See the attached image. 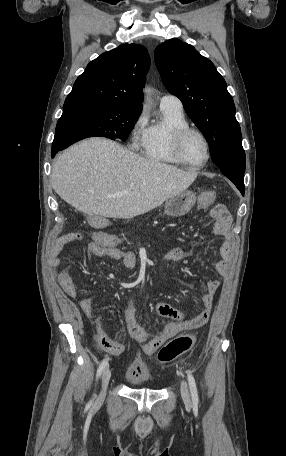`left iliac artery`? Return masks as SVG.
I'll return each mask as SVG.
<instances>
[{
    "instance_id": "44dca946",
    "label": "left iliac artery",
    "mask_w": 286,
    "mask_h": 456,
    "mask_svg": "<svg viewBox=\"0 0 286 456\" xmlns=\"http://www.w3.org/2000/svg\"><path fill=\"white\" fill-rule=\"evenodd\" d=\"M187 377H188V383H189V388H190V392H191L192 402L194 405H198L199 400H198V392H197L195 379L190 372H187Z\"/></svg>"
}]
</instances>
